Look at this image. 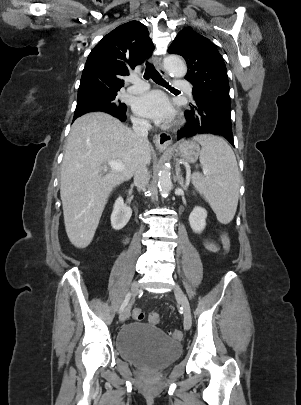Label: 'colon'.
<instances>
[{"mask_svg":"<svg viewBox=\"0 0 301 405\" xmlns=\"http://www.w3.org/2000/svg\"><path fill=\"white\" fill-rule=\"evenodd\" d=\"M220 239L222 242L224 254H227L230 250V239H229L228 235L225 233L220 234ZM132 315H133V318L137 321H141L145 317L143 310H141L139 308L134 309ZM160 319H161L160 315L157 312H151L148 315L149 322L154 325L159 324ZM171 336L174 339L180 340L183 337V333H182V331L176 329V330L172 331Z\"/></svg>","mask_w":301,"mask_h":405,"instance_id":"obj_1","label":"colon"}]
</instances>
